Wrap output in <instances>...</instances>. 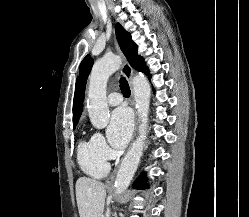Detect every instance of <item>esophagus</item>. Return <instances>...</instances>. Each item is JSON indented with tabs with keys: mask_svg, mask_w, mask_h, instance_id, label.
<instances>
[{
	"mask_svg": "<svg viewBox=\"0 0 249 217\" xmlns=\"http://www.w3.org/2000/svg\"><path fill=\"white\" fill-rule=\"evenodd\" d=\"M115 46H116L118 53L123 57V66H122L121 72L127 78L128 82H129V86H130V90H131L129 102H130L131 106L133 107L134 113L136 115L135 103H134V89H133V68L127 62V60L124 58V56L119 48V45L116 43ZM136 128H137V118H136L135 131H134L133 138L135 137V134H136ZM115 177H116V170L107 179L106 185L112 186L114 183Z\"/></svg>",
	"mask_w": 249,
	"mask_h": 217,
	"instance_id": "1",
	"label": "esophagus"
}]
</instances>
